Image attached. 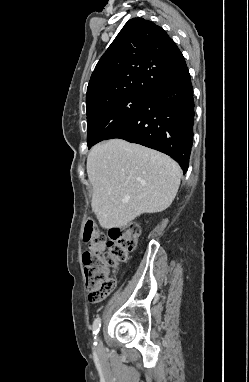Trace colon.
Here are the masks:
<instances>
[{
    "label": "colon",
    "instance_id": "1",
    "mask_svg": "<svg viewBox=\"0 0 249 382\" xmlns=\"http://www.w3.org/2000/svg\"><path fill=\"white\" fill-rule=\"evenodd\" d=\"M139 236V225L130 223L124 229L112 230L110 239L106 240L98 233L93 219L85 221L83 239L89 242V250L84 252L82 259L90 301H102L113 292L115 280L107 270L116 269L129 259L136 250Z\"/></svg>",
    "mask_w": 249,
    "mask_h": 382
}]
</instances>
